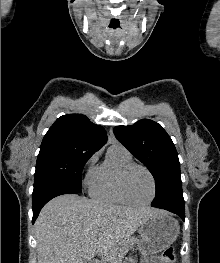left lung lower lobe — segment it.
<instances>
[{
    "instance_id": "obj_1",
    "label": "left lung lower lobe",
    "mask_w": 220,
    "mask_h": 263,
    "mask_svg": "<svg viewBox=\"0 0 220 263\" xmlns=\"http://www.w3.org/2000/svg\"><path fill=\"white\" fill-rule=\"evenodd\" d=\"M165 210H167V209H165ZM168 211L177 214L178 216L181 217L182 220H185V211L184 210L169 209Z\"/></svg>"
}]
</instances>
